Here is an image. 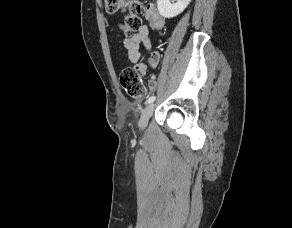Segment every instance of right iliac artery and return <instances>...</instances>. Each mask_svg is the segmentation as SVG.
Segmentation results:
<instances>
[{
	"instance_id": "1",
	"label": "right iliac artery",
	"mask_w": 292,
	"mask_h": 228,
	"mask_svg": "<svg viewBox=\"0 0 292 228\" xmlns=\"http://www.w3.org/2000/svg\"><path fill=\"white\" fill-rule=\"evenodd\" d=\"M155 98H156L155 96L149 97V99L147 100V103L150 104V103L154 102Z\"/></svg>"
}]
</instances>
